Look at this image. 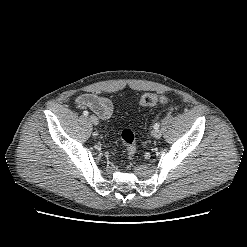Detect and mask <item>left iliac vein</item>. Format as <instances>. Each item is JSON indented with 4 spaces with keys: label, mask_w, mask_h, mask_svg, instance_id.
<instances>
[{
    "label": "left iliac vein",
    "mask_w": 247,
    "mask_h": 247,
    "mask_svg": "<svg viewBox=\"0 0 247 247\" xmlns=\"http://www.w3.org/2000/svg\"><path fill=\"white\" fill-rule=\"evenodd\" d=\"M152 135H153L156 139H159V138L161 137V135H162V132H161L160 129H155V130H153Z\"/></svg>",
    "instance_id": "obj_1"
}]
</instances>
